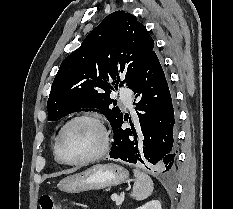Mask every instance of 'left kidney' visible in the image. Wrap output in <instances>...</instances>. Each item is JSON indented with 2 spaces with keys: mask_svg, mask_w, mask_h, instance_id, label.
I'll return each instance as SVG.
<instances>
[{
  "mask_svg": "<svg viewBox=\"0 0 233 209\" xmlns=\"http://www.w3.org/2000/svg\"><path fill=\"white\" fill-rule=\"evenodd\" d=\"M137 209H162L159 200H152Z\"/></svg>",
  "mask_w": 233,
  "mask_h": 209,
  "instance_id": "obj_1",
  "label": "left kidney"
}]
</instances>
